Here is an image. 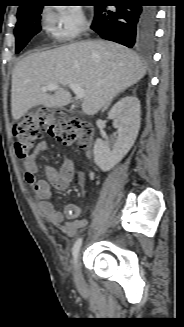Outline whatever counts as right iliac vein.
Instances as JSON below:
<instances>
[{
  "label": "right iliac vein",
  "mask_w": 184,
  "mask_h": 327,
  "mask_svg": "<svg viewBox=\"0 0 184 327\" xmlns=\"http://www.w3.org/2000/svg\"><path fill=\"white\" fill-rule=\"evenodd\" d=\"M75 281L78 286H80L83 282L82 274H81V267L79 261L76 264L75 268Z\"/></svg>",
  "instance_id": "right-iliac-vein-1"
}]
</instances>
